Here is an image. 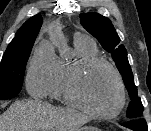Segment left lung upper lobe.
I'll return each instance as SVG.
<instances>
[{
	"mask_svg": "<svg viewBox=\"0 0 151 131\" xmlns=\"http://www.w3.org/2000/svg\"><path fill=\"white\" fill-rule=\"evenodd\" d=\"M80 21L82 26L100 42L102 47L112 54V58L122 75L131 97L127 117H139L144 108L137 94V86L134 84V77L128 62L126 48L120 45V38L113 24L108 18L98 13H82L80 14Z\"/></svg>",
	"mask_w": 151,
	"mask_h": 131,
	"instance_id": "obj_1",
	"label": "left lung upper lobe"
}]
</instances>
